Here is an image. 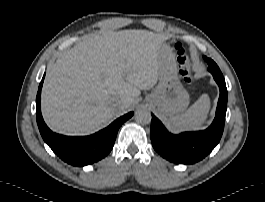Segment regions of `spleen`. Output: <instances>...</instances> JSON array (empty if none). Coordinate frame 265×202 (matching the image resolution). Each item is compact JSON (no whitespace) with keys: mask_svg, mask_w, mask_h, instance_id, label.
Here are the masks:
<instances>
[{"mask_svg":"<svg viewBox=\"0 0 265 202\" xmlns=\"http://www.w3.org/2000/svg\"><path fill=\"white\" fill-rule=\"evenodd\" d=\"M210 109V99L207 94H203L184 113L170 117L172 125L183 130H199L207 118Z\"/></svg>","mask_w":265,"mask_h":202,"instance_id":"obj_1","label":"spleen"}]
</instances>
